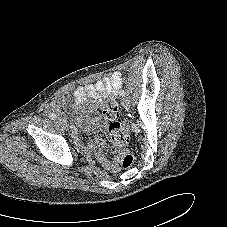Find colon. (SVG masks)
I'll use <instances>...</instances> for the list:
<instances>
[{
	"label": "colon",
	"mask_w": 227,
	"mask_h": 227,
	"mask_svg": "<svg viewBox=\"0 0 227 227\" xmlns=\"http://www.w3.org/2000/svg\"><path fill=\"white\" fill-rule=\"evenodd\" d=\"M104 114L111 121L109 133L112 143L117 149H121L129 142L130 136L128 126L119 121L120 108L115 99H110L105 103ZM134 162L135 157L130 150L121 152L120 164L124 169L132 167Z\"/></svg>",
	"instance_id": "5ec220e1"
}]
</instances>
